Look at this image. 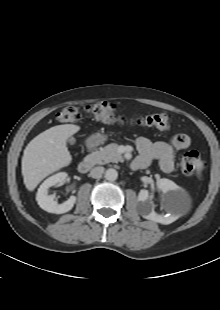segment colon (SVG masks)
Returning a JSON list of instances; mask_svg holds the SVG:
<instances>
[{
    "label": "colon",
    "instance_id": "obj_1",
    "mask_svg": "<svg viewBox=\"0 0 220 310\" xmlns=\"http://www.w3.org/2000/svg\"><path fill=\"white\" fill-rule=\"evenodd\" d=\"M85 112L95 118L113 124L130 123L145 127H154L160 130H167L171 126V117L166 113L149 112L145 115L126 118L118 114L116 107L105 101L94 102L84 108ZM81 119V112L74 106L64 108L58 114V120L63 123L76 122ZM204 169V162L197 151L186 152L181 159V170L184 174H194Z\"/></svg>",
    "mask_w": 220,
    "mask_h": 310
}]
</instances>
